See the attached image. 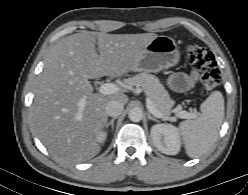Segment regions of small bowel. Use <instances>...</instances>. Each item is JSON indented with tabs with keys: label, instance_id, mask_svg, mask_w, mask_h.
Masks as SVG:
<instances>
[{
	"label": "small bowel",
	"instance_id": "c3829d8e",
	"mask_svg": "<svg viewBox=\"0 0 248 195\" xmlns=\"http://www.w3.org/2000/svg\"><path fill=\"white\" fill-rule=\"evenodd\" d=\"M199 79V74L196 71L190 74L176 73L170 77L171 86L177 91H185L191 88Z\"/></svg>",
	"mask_w": 248,
	"mask_h": 195
}]
</instances>
